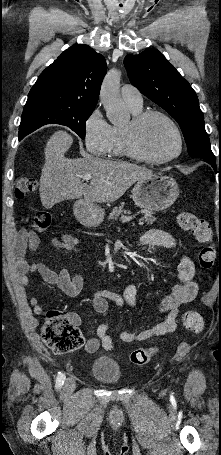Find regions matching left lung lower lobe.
Masks as SVG:
<instances>
[{"label": "left lung lower lobe", "mask_w": 221, "mask_h": 455, "mask_svg": "<svg viewBox=\"0 0 221 455\" xmlns=\"http://www.w3.org/2000/svg\"><path fill=\"white\" fill-rule=\"evenodd\" d=\"M203 161L209 163L213 169L215 170V172H217L218 170V164L216 166V161H215V158H202ZM219 172H221V164L219 163Z\"/></svg>", "instance_id": "left-lung-lower-lobe-1"}]
</instances>
